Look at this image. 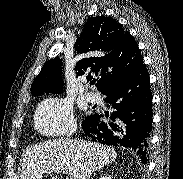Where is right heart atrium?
<instances>
[{
  "mask_svg": "<svg viewBox=\"0 0 183 179\" xmlns=\"http://www.w3.org/2000/svg\"><path fill=\"white\" fill-rule=\"evenodd\" d=\"M35 127L48 136L71 134L76 128L72 103L66 98H49L36 109Z\"/></svg>",
  "mask_w": 183,
  "mask_h": 179,
  "instance_id": "1",
  "label": "right heart atrium"
}]
</instances>
